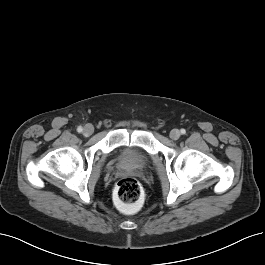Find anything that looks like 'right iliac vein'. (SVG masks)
<instances>
[{"label":"right iliac vein","mask_w":265,"mask_h":265,"mask_svg":"<svg viewBox=\"0 0 265 265\" xmlns=\"http://www.w3.org/2000/svg\"><path fill=\"white\" fill-rule=\"evenodd\" d=\"M94 132V127L91 124H87L83 129V134L85 136H90Z\"/></svg>","instance_id":"63e3f726"}]
</instances>
